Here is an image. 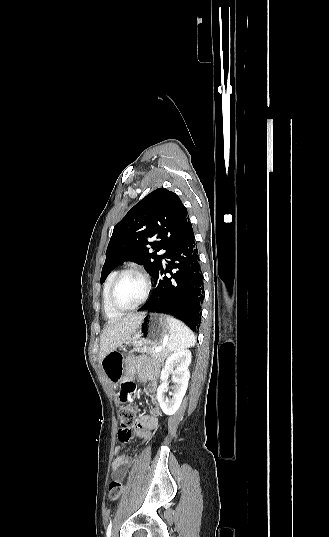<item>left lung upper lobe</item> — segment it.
I'll list each match as a JSON object with an SVG mask.
<instances>
[{"instance_id": "1", "label": "left lung upper lobe", "mask_w": 329, "mask_h": 537, "mask_svg": "<svg viewBox=\"0 0 329 537\" xmlns=\"http://www.w3.org/2000/svg\"><path fill=\"white\" fill-rule=\"evenodd\" d=\"M189 226L187 209L179 197L164 188L154 190L114 227L100 281L124 260L143 264L153 276ZM148 238L156 240L150 243ZM162 249L166 253L158 254Z\"/></svg>"}]
</instances>
